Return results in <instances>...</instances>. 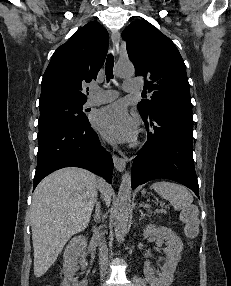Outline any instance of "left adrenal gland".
Returning a JSON list of instances; mask_svg holds the SVG:
<instances>
[{"instance_id":"obj_1","label":"left adrenal gland","mask_w":231,"mask_h":286,"mask_svg":"<svg viewBox=\"0 0 231 286\" xmlns=\"http://www.w3.org/2000/svg\"><path fill=\"white\" fill-rule=\"evenodd\" d=\"M139 212H140V214H141V217H140L139 220H142L143 217H145L147 214H145V213L143 212V210H139Z\"/></svg>"}]
</instances>
